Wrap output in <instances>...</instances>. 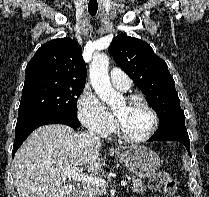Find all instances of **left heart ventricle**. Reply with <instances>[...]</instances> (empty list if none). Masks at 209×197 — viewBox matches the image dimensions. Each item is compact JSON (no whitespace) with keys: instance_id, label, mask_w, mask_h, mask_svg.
I'll return each mask as SVG.
<instances>
[{"instance_id":"b2bd125f","label":"left heart ventricle","mask_w":209,"mask_h":197,"mask_svg":"<svg viewBox=\"0 0 209 197\" xmlns=\"http://www.w3.org/2000/svg\"><path fill=\"white\" fill-rule=\"evenodd\" d=\"M123 130L130 136H143L152 124L150 112L140 102L122 100L114 109Z\"/></svg>"}]
</instances>
